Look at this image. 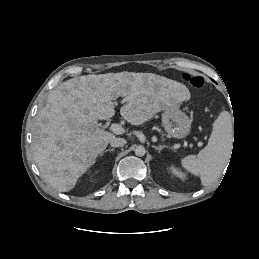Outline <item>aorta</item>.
Segmentation results:
<instances>
[{"mask_svg":"<svg viewBox=\"0 0 259 259\" xmlns=\"http://www.w3.org/2000/svg\"><path fill=\"white\" fill-rule=\"evenodd\" d=\"M145 153H146V149L144 148V146L139 145L135 148L136 156L142 157L145 155Z\"/></svg>","mask_w":259,"mask_h":259,"instance_id":"aorta-1","label":"aorta"}]
</instances>
